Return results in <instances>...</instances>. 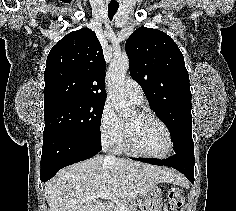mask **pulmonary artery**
I'll list each match as a JSON object with an SVG mask.
<instances>
[{
    "mask_svg": "<svg viewBox=\"0 0 236 211\" xmlns=\"http://www.w3.org/2000/svg\"><path fill=\"white\" fill-rule=\"evenodd\" d=\"M126 95L136 104H142L144 102V92L139 83L129 78L125 82Z\"/></svg>",
    "mask_w": 236,
    "mask_h": 211,
    "instance_id": "e3ab8cb5",
    "label": "pulmonary artery"
}]
</instances>
